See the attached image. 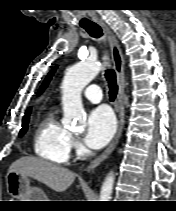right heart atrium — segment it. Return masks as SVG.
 I'll list each match as a JSON object with an SVG mask.
<instances>
[{"instance_id": "d8ad5b80", "label": "right heart atrium", "mask_w": 176, "mask_h": 211, "mask_svg": "<svg viewBox=\"0 0 176 211\" xmlns=\"http://www.w3.org/2000/svg\"><path fill=\"white\" fill-rule=\"evenodd\" d=\"M71 148L77 153L81 151V146L76 138H71Z\"/></svg>"}]
</instances>
